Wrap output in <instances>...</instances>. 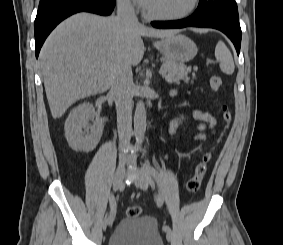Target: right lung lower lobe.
<instances>
[{
  "instance_id": "obj_1",
  "label": "right lung lower lobe",
  "mask_w": 283,
  "mask_h": 245,
  "mask_svg": "<svg viewBox=\"0 0 283 245\" xmlns=\"http://www.w3.org/2000/svg\"><path fill=\"white\" fill-rule=\"evenodd\" d=\"M114 6L115 0H40L34 23L36 57L47 36L65 18L82 11L109 15Z\"/></svg>"
}]
</instances>
